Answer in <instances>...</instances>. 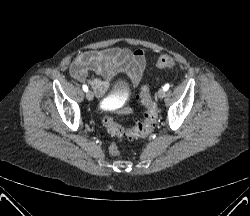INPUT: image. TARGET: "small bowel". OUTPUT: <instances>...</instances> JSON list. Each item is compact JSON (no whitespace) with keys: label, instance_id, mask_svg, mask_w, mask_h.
Listing matches in <instances>:
<instances>
[{"label":"small bowel","instance_id":"small-bowel-1","mask_svg":"<svg viewBox=\"0 0 250 216\" xmlns=\"http://www.w3.org/2000/svg\"><path fill=\"white\" fill-rule=\"evenodd\" d=\"M147 54L144 49L131 51L113 47L89 50L80 53L70 66L71 76L78 82H87L98 97H103L110 87V80L124 75L137 86L146 67ZM94 73L104 80L91 77Z\"/></svg>","mask_w":250,"mask_h":216}]
</instances>
